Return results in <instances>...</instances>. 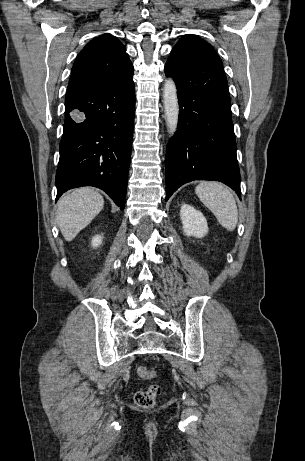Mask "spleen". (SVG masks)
I'll return each mask as SVG.
<instances>
[{
    "mask_svg": "<svg viewBox=\"0 0 305 461\" xmlns=\"http://www.w3.org/2000/svg\"><path fill=\"white\" fill-rule=\"evenodd\" d=\"M195 192L225 229L233 231L236 228L238 209L232 192L226 186L219 182H201Z\"/></svg>",
    "mask_w": 305,
    "mask_h": 461,
    "instance_id": "spleen-1",
    "label": "spleen"
}]
</instances>
